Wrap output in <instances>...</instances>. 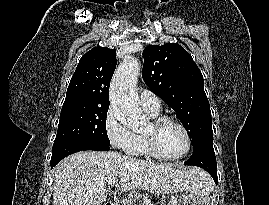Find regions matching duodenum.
I'll list each match as a JSON object with an SVG mask.
<instances>
[{
    "label": "duodenum",
    "mask_w": 269,
    "mask_h": 205,
    "mask_svg": "<svg viewBox=\"0 0 269 205\" xmlns=\"http://www.w3.org/2000/svg\"><path fill=\"white\" fill-rule=\"evenodd\" d=\"M103 205H114V204L111 202H107V203H104Z\"/></svg>",
    "instance_id": "1"
}]
</instances>
